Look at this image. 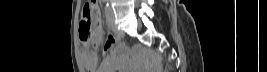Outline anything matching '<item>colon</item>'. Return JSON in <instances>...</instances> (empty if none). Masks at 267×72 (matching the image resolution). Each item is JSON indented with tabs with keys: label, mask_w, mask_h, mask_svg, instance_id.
I'll return each instance as SVG.
<instances>
[{
	"label": "colon",
	"mask_w": 267,
	"mask_h": 72,
	"mask_svg": "<svg viewBox=\"0 0 267 72\" xmlns=\"http://www.w3.org/2000/svg\"><path fill=\"white\" fill-rule=\"evenodd\" d=\"M96 1H86L82 9V17L79 24V37L82 43L97 46L102 38L100 21V9ZM98 23V26L96 25Z\"/></svg>",
	"instance_id": "obj_1"
}]
</instances>
